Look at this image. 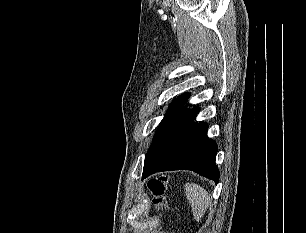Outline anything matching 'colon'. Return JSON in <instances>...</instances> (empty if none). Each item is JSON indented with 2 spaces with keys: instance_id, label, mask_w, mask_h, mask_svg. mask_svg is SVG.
I'll list each match as a JSON object with an SVG mask.
<instances>
[{
  "instance_id": "colon-1",
  "label": "colon",
  "mask_w": 306,
  "mask_h": 233,
  "mask_svg": "<svg viewBox=\"0 0 306 233\" xmlns=\"http://www.w3.org/2000/svg\"><path fill=\"white\" fill-rule=\"evenodd\" d=\"M147 188L152 195V203L158 210H167L166 203L163 198V194L166 188V178L159 176L150 179L147 182Z\"/></svg>"
}]
</instances>
